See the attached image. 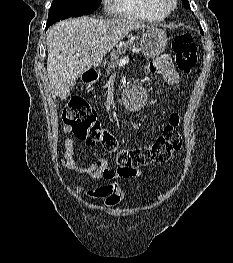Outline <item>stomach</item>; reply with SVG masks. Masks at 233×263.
Here are the masks:
<instances>
[{
  "mask_svg": "<svg viewBox=\"0 0 233 263\" xmlns=\"http://www.w3.org/2000/svg\"><path fill=\"white\" fill-rule=\"evenodd\" d=\"M166 44V33L162 29L151 27L141 37L140 50L146 57L153 58L165 50Z\"/></svg>",
  "mask_w": 233,
  "mask_h": 263,
  "instance_id": "1",
  "label": "stomach"
}]
</instances>
